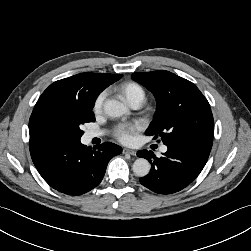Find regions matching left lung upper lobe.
Returning <instances> with one entry per match:
<instances>
[{
    "instance_id": "5c2ea615",
    "label": "left lung upper lobe",
    "mask_w": 251,
    "mask_h": 251,
    "mask_svg": "<svg viewBox=\"0 0 251 251\" xmlns=\"http://www.w3.org/2000/svg\"><path fill=\"white\" fill-rule=\"evenodd\" d=\"M131 77L151 91L157 100V110L146 135L154 139L160 136L165 145L194 139L213 141L210 105L195 84L165 70L137 72Z\"/></svg>"
}]
</instances>
